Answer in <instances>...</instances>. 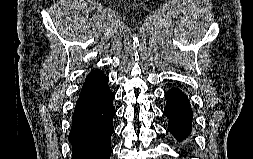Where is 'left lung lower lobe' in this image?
I'll return each instance as SVG.
<instances>
[{
    "mask_svg": "<svg viewBox=\"0 0 253 159\" xmlns=\"http://www.w3.org/2000/svg\"><path fill=\"white\" fill-rule=\"evenodd\" d=\"M167 100L164 114L169 119L168 131L181 141L189 136L192 123V109L186 95L178 88L170 89L166 94Z\"/></svg>",
    "mask_w": 253,
    "mask_h": 159,
    "instance_id": "1",
    "label": "left lung lower lobe"
}]
</instances>
